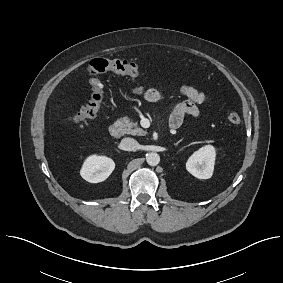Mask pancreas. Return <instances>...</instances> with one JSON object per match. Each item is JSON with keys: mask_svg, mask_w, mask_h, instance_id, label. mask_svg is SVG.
Here are the masks:
<instances>
[{"mask_svg": "<svg viewBox=\"0 0 283 283\" xmlns=\"http://www.w3.org/2000/svg\"><path fill=\"white\" fill-rule=\"evenodd\" d=\"M119 121H120V128L123 134L144 136L147 133L142 128L138 127V124L133 122L128 117L120 118Z\"/></svg>", "mask_w": 283, "mask_h": 283, "instance_id": "cf45deb5", "label": "pancreas"}]
</instances>
